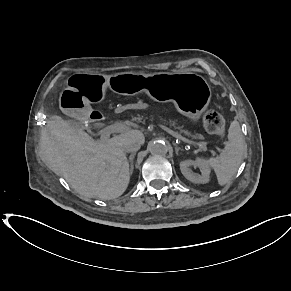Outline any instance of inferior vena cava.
<instances>
[{"instance_id":"obj_1","label":"inferior vena cava","mask_w":291,"mask_h":291,"mask_svg":"<svg viewBox=\"0 0 291 291\" xmlns=\"http://www.w3.org/2000/svg\"><path fill=\"white\" fill-rule=\"evenodd\" d=\"M141 144L138 142H126L123 145V149L125 152H136L140 149Z\"/></svg>"}]
</instances>
